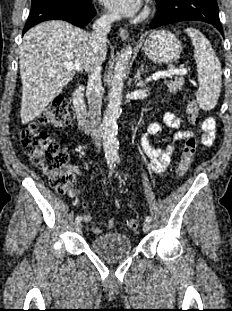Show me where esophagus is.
<instances>
[{"label": "esophagus", "instance_id": "34e87169", "mask_svg": "<svg viewBox=\"0 0 232 311\" xmlns=\"http://www.w3.org/2000/svg\"><path fill=\"white\" fill-rule=\"evenodd\" d=\"M118 35H119V37L122 38V39H127L128 36H129V33H128L127 29H125V28H120L119 31H118Z\"/></svg>", "mask_w": 232, "mask_h": 311}]
</instances>
